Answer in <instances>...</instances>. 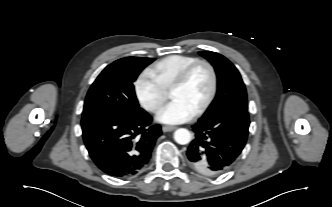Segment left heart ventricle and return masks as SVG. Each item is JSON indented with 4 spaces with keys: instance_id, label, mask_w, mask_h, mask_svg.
Wrapping results in <instances>:
<instances>
[{
    "instance_id": "1",
    "label": "left heart ventricle",
    "mask_w": 332,
    "mask_h": 207,
    "mask_svg": "<svg viewBox=\"0 0 332 207\" xmlns=\"http://www.w3.org/2000/svg\"><path fill=\"white\" fill-rule=\"evenodd\" d=\"M211 86V77L205 66H198L186 83L170 91L171 99H179L196 111L207 97Z\"/></svg>"
}]
</instances>
